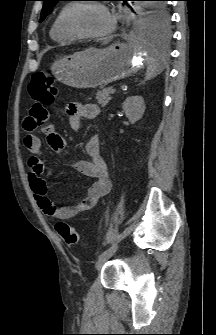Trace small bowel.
<instances>
[{"label":"small bowel","mask_w":216,"mask_h":335,"mask_svg":"<svg viewBox=\"0 0 216 335\" xmlns=\"http://www.w3.org/2000/svg\"><path fill=\"white\" fill-rule=\"evenodd\" d=\"M69 126L76 130L85 119L95 118L100 110L96 104L73 102L67 106ZM52 114L51 108H44L43 104H32L29 119L24 124L27 134L24 146L30 153L28 158L29 183L33 196L40 210L55 219L67 220L90 210L111 189V180L105 161L100 154V144L97 135H91L85 145V153L89 160H78L74 168L84 176L94 178L85 197L68 206L58 207L49 198L47 187L43 179L44 163L41 158V141L36 134H45L51 148L60 153L66 149L65 141L54 131L51 124H46Z\"/></svg>","instance_id":"c3829d8e"}]
</instances>
